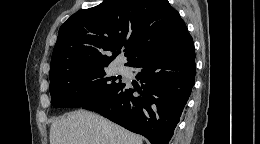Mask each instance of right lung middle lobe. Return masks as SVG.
Wrapping results in <instances>:
<instances>
[{"instance_id":"obj_1","label":"right lung middle lobe","mask_w":260,"mask_h":144,"mask_svg":"<svg viewBox=\"0 0 260 144\" xmlns=\"http://www.w3.org/2000/svg\"><path fill=\"white\" fill-rule=\"evenodd\" d=\"M105 68L88 67L51 76V104L56 108L83 107L112 93L123 82L119 77H106Z\"/></svg>"}]
</instances>
